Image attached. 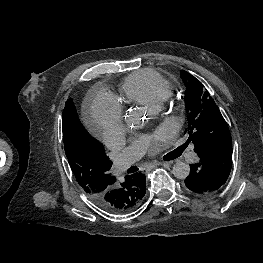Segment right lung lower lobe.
<instances>
[{
  "mask_svg": "<svg viewBox=\"0 0 263 263\" xmlns=\"http://www.w3.org/2000/svg\"><path fill=\"white\" fill-rule=\"evenodd\" d=\"M146 178L141 173L125 176V180L122 183H115V177H111L106 181L104 189L90 194V199L100 208L116 213L123 205L128 201V186L130 184L144 185Z\"/></svg>",
  "mask_w": 263,
  "mask_h": 263,
  "instance_id": "1",
  "label": "right lung lower lobe"
}]
</instances>
